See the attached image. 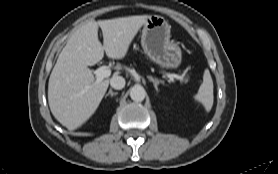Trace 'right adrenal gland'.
Returning <instances> with one entry per match:
<instances>
[{
  "mask_svg": "<svg viewBox=\"0 0 278 174\" xmlns=\"http://www.w3.org/2000/svg\"><path fill=\"white\" fill-rule=\"evenodd\" d=\"M117 92H113L112 89L109 90V92L105 95V97L111 95V97H113L114 95H117Z\"/></svg>",
  "mask_w": 278,
  "mask_h": 174,
  "instance_id": "obj_1",
  "label": "right adrenal gland"
}]
</instances>
